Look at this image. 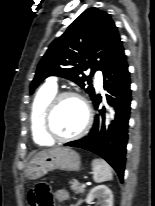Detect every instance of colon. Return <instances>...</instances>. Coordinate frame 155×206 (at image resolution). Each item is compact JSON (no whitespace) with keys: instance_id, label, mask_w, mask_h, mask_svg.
<instances>
[{"instance_id":"1","label":"colon","mask_w":155,"mask_h":206,"mask_svg":"<svg viewBox=\"0 0 155 206\" xmlns=\"http://www.w3.org/2000/svg\"><path fill=\"white\" fill-rule=\"evenodd\" d=\"M28 201L33 206H51V193L46 183H40L28 193Z\"/></svg>"}]
</instances>
